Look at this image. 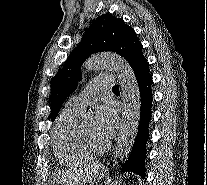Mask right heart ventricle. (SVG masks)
Returning <instances> with one entry per match:
<instances>
[{
  "label": "right heart ventricle",
  "instance_id": "1",
  "mask_svg": "<svg viewBox=\"0 0 207 185\" xmlns=\"http://www.w3.org/2000/svg\"><path fill=\"white\" fill-rule=\"evenodd\" d=\"M80 113L64 110L53 130V145L60 162L78 165L92 160L95 155L89 152L78 138V116Z\"/></svg>",
  "mask_w": 207,
  "mask_h": 185
}]
</instances>
